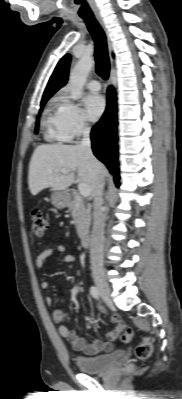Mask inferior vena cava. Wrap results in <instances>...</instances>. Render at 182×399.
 I'll list each match as a JSON object with an SVG mask.
<instances>
[{
    "label": "inferior vena cava",
    "instance_id": "1",
    "mask_svg": "<svg viewBox=\"0 0 182 399\" xmlns=\"http://www.w3.org/2000/svg\"><path fill=\"white\" fill-rule=\"evenodd\" d=\"M82 134L83 138L79 144V147L86 151V153L93 160H95L91 149L90 127L88 125H85L83 127ZM104 185V178L102 176H98L96 179L95 189L93 193V229L90 247L91 269L94 274L97 272H101L103 268L104 215L102 210V204Z\"/></svg>",
    "mask_w": 182,
    "mask_h": 399
}]
</instances>
